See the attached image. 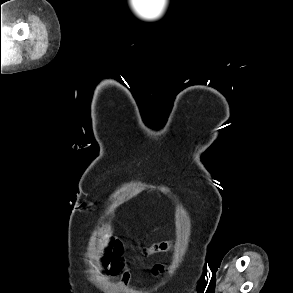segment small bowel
Instances as JSON below:
<instances>
[{"mask_svg":"<svg viewBox=\"0 0 293 293\" xmlns=\"http://www.w3.org/2000/svg\"><path fill=\"white\" fill-rule=\"evenodd\" d=\"M164 224L152 227L146 234H151L162 228ZM137 248L142 254H155L170 251L174 248V243L171 241H162L151 246H145L143 238L135 242ZM98 267L104 273L112 275L121 274L122 284H126L130 279V272L125 265L123 257V247L119 241L109 239L106 242L103 253L98 258ZM165 267L163 264H155L152 267L154 277H160L164 274Z\"/></svg>","mask_w":293,"mask_h":293,"instance_id":"c3829d8e","label":"small bowel"}]
</instances>
